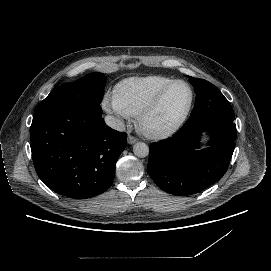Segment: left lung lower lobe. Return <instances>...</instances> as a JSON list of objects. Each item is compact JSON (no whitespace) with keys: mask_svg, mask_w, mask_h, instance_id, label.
Here are the masks:
<instances>
[{"mask_svg":"<svg viewBox=\"0 0 271 271\" xmlns=\"http://www.w3.org/2000/svg\"><path fill=\"white\" fill-rule=\"evenodd\" d=\"M234 115L205 113L190 117L172 137L150 145L148 173L165 192L191 195L216 183L227 171L237 136ZM210 147L198 151L202 133Z\"/></svg>","mask_w":271,"mask_h":271,"instance_id":"obj_1","label":"left lung lower lobe"}]
</instances>
